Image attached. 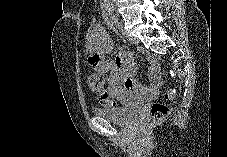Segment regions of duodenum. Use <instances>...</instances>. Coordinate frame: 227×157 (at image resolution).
Returning a JSON list of instances; mask_svg holds the SVG:
<instances>
[{"instance_id": "1", "label": "duodenum", "mask_w": 227, "mask_h": 157, "mask_svg": "<svg viewBox=\"0 0 227 157\" xmlns=\"http://www.w3.org/2000/svg\"><path fill=\"white\" fill-rule=\"evenodd\" d=\"M107 23H116L117 22V18L114 15H107Z\"/></svg>"}]
</instances>
